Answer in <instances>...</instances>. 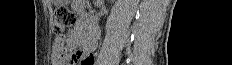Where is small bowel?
I'll return each instance as SVG.
<instances>
[{"label":"small bowel","mask_w":232,"mask_h":65,"mask_svg":"<svg viewBox=\"0 0 232 65\" xmlns=\"http://www.w3.org/2000/svg\"><path fill=\"white\" fill-rule=\"evenodd\" d=\"M66 45L70 50L81 46L87 51H93L96 48V39H90L82 27L81 22H79L70 32Z\"/></svg>","instance_id":"c3829d8e"}]
</instances>
